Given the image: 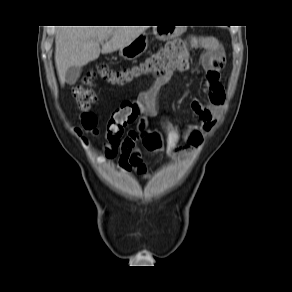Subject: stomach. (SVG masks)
I'll return each instance as SVG.
<instances>
[{
  "label": "stomach",
  "mask_w": 292,
  "mask_h": 292,
  "mask_svg": "<svg viewBox=\"0 0 292 292\" xmlns=\"http://www.w3.org/2000/svg\"><path fill=\"white\" fill-rule=\"evenodd\" d=\"M154 35L160 40H167L175 37L177 32L173 28L166 26H155L153 29ZM148 47V40L145 34H140L129 45L120 49V56L127 60H133L142 55Z\"/></svg>",
  "instance_id": "0dacf381"
}]
</instances>
